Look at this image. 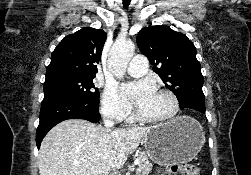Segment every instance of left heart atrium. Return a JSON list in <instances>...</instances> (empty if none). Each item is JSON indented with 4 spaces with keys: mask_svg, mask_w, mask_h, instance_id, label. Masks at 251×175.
<instances>
[{
    "mask_svg": "<svg viewBox=\"0 0 251 175\" xmlns=\"http://www.w3.org/2000/svg\"><path fill=\"white\" fill-rule=\"evenodd\" d=\"M122 97L136 105L140 110L145 109L156 95V87L150 80L124 83L120 87Z\"/></svg>",
    "mask_w": 251,
    "mask_h": 175,
    "instance_id": "39dd6f15",
    "label": "left heart atrium"
}]
</instances>
